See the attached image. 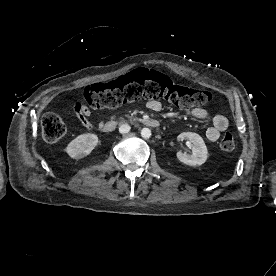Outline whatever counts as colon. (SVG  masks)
Returning a JSON list of instances; mask_svg holds the SVG:
<instances>
[{"instance_id": "colon-1", "label": "colon", "mask_w": 276, "mask_h": 276, "mask_svg": "<svg viewBox=\"0 0 276 276\" xmlns=\"http://www.w3.org/2000/svg\"><path fill=\"white\" fill-rule=\"evenodd\" d=\"M87 103L93 108H113L139 99H163L179 107L201 106L211 101L206 90L193 89L175 84L167 75L148 68H138L109 83H98L83 91ZM42 136L47 142H56L66 133L63 119L54 113H46L41 119ZM222 151L235 148L232 133L224 134L220 141Z\"/></svg>"}]
</instances>
